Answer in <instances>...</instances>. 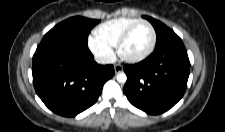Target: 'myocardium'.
Returning a JSON list of instances; mask_svg holds the SVG:
<instances>
[{"label": "myocardium", "mask_w": 225, "mask_h": 132, "mask_svg": "<svg viewBox=\"0 0 225 132\" xmlns=\"http://www.w3.org/2000/svg\"><path fill=\"white\" fill-rule=\"evenodd\" d=\"M146 24L149 26L150 30H151V42L148 46V48L141 53L140 55L137 56H127L123 53V46L125 44V42L127 41V39L129 38L131 32L133 31V29L139 25V24ZM155 44H156V31L154 26L147 20L145 19H138L135 22H133L132 24H130L121 34V36L119 37L118 41H117V52L118 55L120 56V58L126 62L129 63H137L140 62L142 60H144L145 58H147L154 50L155 48Z\"/></svg>", "instance_id": "myocardium-1"}]
</instances>
